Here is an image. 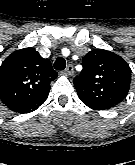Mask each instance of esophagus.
<instances>
[{
    "mask_svg": "<svg viewBox=\"0 0 135 165\" xmlns=\"http://www.w3.org/2000/svg\"><path fill=\"white\" fill-rule=\"evenodd\" d=\"M74 73V69H73V65L72 64H69L65 70H64V74L65 75H72Z\"/></svg>",
    "mask_w": 135,
    "mask_h": 165,
    "instance_id": "obj_1",
    "label": "esophagus"
}]
</instances>
